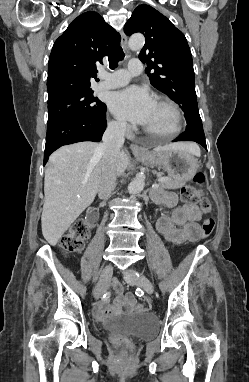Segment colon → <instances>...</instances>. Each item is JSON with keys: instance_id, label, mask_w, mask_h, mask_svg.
Masks as SVG:
<instances>
[{"instance_id": "colon-1", "label": "colon", "mask_w": 249, "mask_h": 382, "mask_svg": "<svg viewBox=\"0 0 249 382\" xmlns=\"http://www.w3.org/2000/svg\"><path fill=\"white\" fill-rule=\"evenodd\" d=\"M194 181L198 184L204 182V175L198 172ZM181 200L185 205H197L199 204L203 211L208 212L211 208L210 201L207 198L202 197L200 191L192 185L184 186L181 189ZM86 221L76 222L68 234L64 235L60 240L61 249L68 254L76 253L82 250L85 240L89 237L90 229L86 224ZM202 238H206L211 235L214 229V221L210 217H206L202 221ZM135 309L139 312L145 310V306L142 304H136Z\"/></svg>"}]
</instances>
